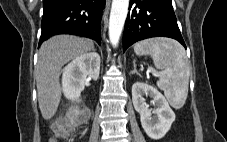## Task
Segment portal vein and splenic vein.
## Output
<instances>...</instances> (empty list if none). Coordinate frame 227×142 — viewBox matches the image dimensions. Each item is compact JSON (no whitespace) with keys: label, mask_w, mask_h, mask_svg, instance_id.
Here are the masks:
<instances>
[{"label":"portal vein and splenic vein","mask_w":227,"mask_h":142,"mask_svg":"<svg viewBox=\"0 0 227 142\" xmlns=\"http://www.w3.org/2000/svg\"><path fill=\"white\" fill-rule=\"evenodd\" d=\"M149 71L154 72V73H157V74H160L159 72H157L156 70H154L152 68H150Z\"/></svg>","instance_id":"18ae733b"}]
</instances>
